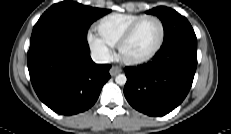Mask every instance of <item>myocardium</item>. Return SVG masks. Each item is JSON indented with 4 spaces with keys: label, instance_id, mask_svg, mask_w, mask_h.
I'll return each mask as SVG.
<instances>
[{
    "label": "myocardium",
    "instance_id": "1",
    "mask_svg": "<svg viewBox=\"0 0 231 134\" xmlns=\"http://www.w3.org/2000/svg\"><path fill=\"white\" fill-rule=\"evenodd\" d=\"M146 20H154L160 26V38H159V42H158L157 46L155 47V49L150 54H148L145 57L138 58V59H128V58L124 57L123 56V49H124L125 45L133 37V35L137 31L138 27ZM164 41H165V26H164L163 21L155 15H145V16L141 17L140 19H138L135 23H133L127 29V31L124 33V35L121 37L120 41L118 42L117 49H118V52H119L122 60L126 64H128V65H141V64H145V63L151 61L159 53V51L161 50V48L164 44Z\"/></svg>",
    "mask_w": 231,
    "mask_h": 134
}]
</instances>
